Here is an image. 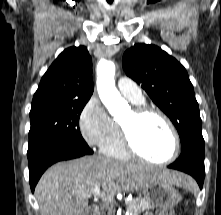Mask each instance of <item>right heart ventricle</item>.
Masks as SVG:
<instances>
[{"mask_svg": "<svg viewBox=\"0 0 221 215\" xmlns=\"http://www.w3.org/2000/svg\"><path fill=\"white\" fill-rule=\"evenodd\" d=\"M133 103L136 105H141L143 101ZM101 151L103 154L119 160H128L130 158V155L123 147L118 122L113 121V132L110 138L101 145Z\"/></svg>", "mask_w": 221, "mask_h": 215, "instance_id": "e07e8e85", "label": "right heart ventricle"}]
</instances>
